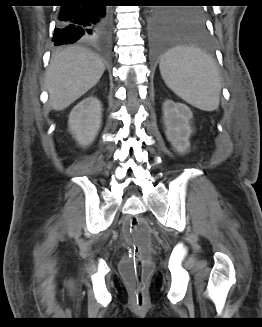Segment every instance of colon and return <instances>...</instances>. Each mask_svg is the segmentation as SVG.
<instances>
[{
	"mask_svg": "<svg viewBox=\"0 0 262 327\" xmlns=\"http://www.w3.org/2000/svg\"><path fill=\"white\" fill-rule=\"evenodd\" d=\"M125 232L133 243V252L123 262L122 272L129 281L136 301L143 303L150 271V265L143 255V250L149 240V228L144 220L133 217L125 225Z\"/></svg>",
	"mask_w": 262,
	"mask_h": 327,
	"instance_id": "1",
	"label": "colon"
}]
</instances>
